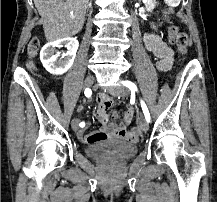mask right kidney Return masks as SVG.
<instances>
[{
  "instance_id": "1",
  "label": "right kidney",
  "mask_w": 217,
  "mask_h": 202,
  "mask_svg": "<svg viewBox=\"0 0 217 202\" xmlns=\"http://www.w3.org/2000/svg\"><path fill=\"white\" fill-rule=\"evenodd\" d=\"M65 44L67 52L60 56H56L58 46ZM79 42L76 38H62L56 42H49L45 44L40 52V60L50 74H65L71 68L76 52L78 50Z\"/></svg>"
}]
</instances>
